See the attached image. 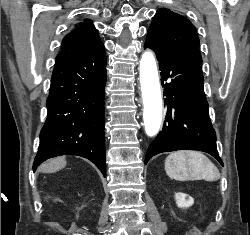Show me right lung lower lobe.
<instances>
[{
  "label": "right lung lower lobe",
  "instance_id": "obj_1",
  "mask_svg": "<svg viewBox=\"0 0 250 235\" xmlns=\"http://www.w3.org/2000/svg\"><path fill=\"white\" fill-rule=\"evenodd\" d=\"M105 83L103 43L78 56L56 61L34 171L49 158L77 155L92 161L106 177Z\"/></svg>",
  "mask_w": 250,
  "mask_h": 235
}]
</instances>
